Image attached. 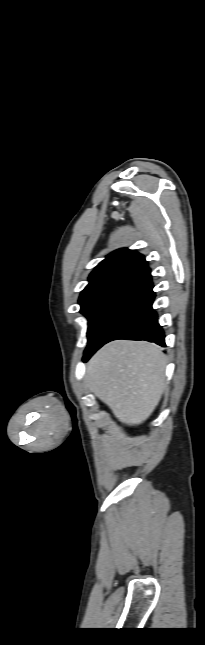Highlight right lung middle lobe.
Masks as SVG:
<instances>
[{
    "instance_id": "1",
    "label": "right lung middle lobe",
    "mask_w": 205,
    "mask_h": 645,
    "mask_svg": "<svg viewBox=\"0 0 205 645\" xmlns=\"http://www.w3.org/2000/svg\"><path fill=\"white\" fill-rule=\"evenodd\" d=\"M151 299V291L123 289L81 304L88 318V346L85 354L99 349L124 323L141 311Z\"/></svg>"
}]
</instances>
